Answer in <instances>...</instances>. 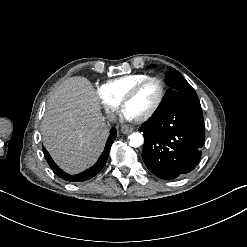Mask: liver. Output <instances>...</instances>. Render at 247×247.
I'll return each instance as SVG.
<instances>
[{
    "label": "liver",
    "mask_w": 247,
    "mask_h": 247,
    "mask_svg": "<svg viewBox=\"0 0 247 247\" xmlns=\"http://www.w3.org/2000/svg\"><path fill=\"white\" fill-rule=\"evenodd\" d=\"M41 131L43 145L65 173L80 174L98 161L110 130L89 79L74 76L56 88L48 100Z\"/></svg>",
    "instance_id": "obj_1"
}]
</instances>
